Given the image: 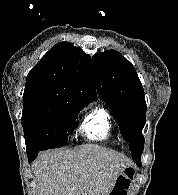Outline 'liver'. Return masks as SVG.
Segmentation results:
<instances>
[{
	"label": "liver",
	"instance_id": "liver-1",
	"mask_svg": "<svg viewBox=\"0 0 178 195\" xmlns=\"http://www.w3.org/2000/svg\"><path fill=\"white\" fill-rule=\"evenodd\" d=\"M129 160L97 145L42 152L32 165L38 195H109Z\"/></svg>",
	"mask_w": 178,
	"mask_h": 195
}]
</instances>
